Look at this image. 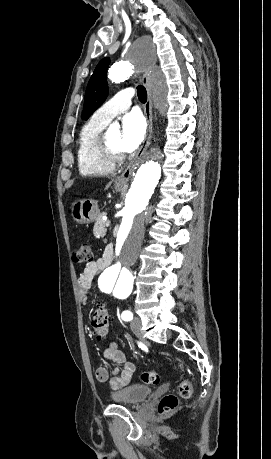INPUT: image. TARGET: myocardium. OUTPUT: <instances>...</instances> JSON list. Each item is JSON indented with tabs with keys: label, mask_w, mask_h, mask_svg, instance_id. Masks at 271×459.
<instances>
[{
	"label": "myocardium",
	"mask_w": 271,
	"mask_h": 459,
	"mask_svg": "<svg viewBox=\"0 0 271 459\" xmlns=\"http://www.w3.org/2000/svg\"><path fill=\"white\" fill-rule=\"evenodd\" d=\"M96 155L111 162H119L125 156V150L113 148L107 140V132L101 133L96 144Z\"/></svg>",
	"instance_id": "f54148a6"
}]
</instances>
